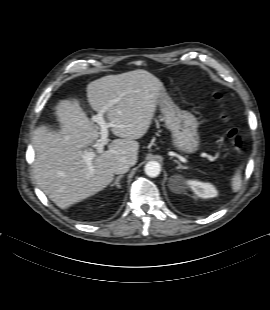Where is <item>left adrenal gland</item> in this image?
<instances>
[{
	"label": "left adrenal gland",
	"instance_id": "left-adrenal-gland-1",
	"mask_svg": "<svg viewBox=\"0 0 270 310\" xmlns=\"http://www.w3.org/2000/svg\"><path fill=\"white\" fill-rule=\"evenodd\" d=\"M175 163L178 164V166L176 167L177 169H188V167L183 166L178 160H173Z\"/></svg>",
	"mask_w": 270,
	"mask_h": 310
}]
</instances>
